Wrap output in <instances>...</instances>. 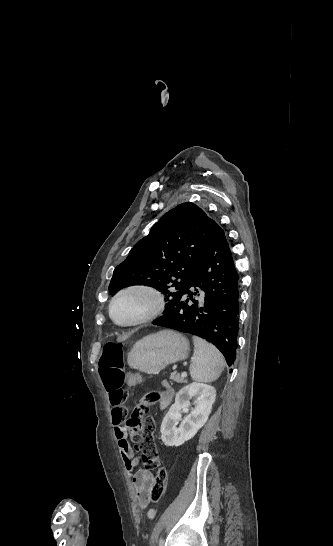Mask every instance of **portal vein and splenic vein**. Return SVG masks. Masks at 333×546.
Here are the masks:
<instances>
[{
  "label": "portal vein and splenic vein",
  "instance_id": "portal-vein-and-splenic-vein-1",
  "mask_svg": "<svg viewBox=\"0 0 333 546\" xmlns=\"http://www.w3.org/2000/svg\"><path fill=\"white\" fill-rule=\"evenodd\" d=\"M181 376H182V377L187 376L186 372H183Z\"/></svg>",
  "mask_w": 333,
  "mask_h": 546
}]
</instances>
